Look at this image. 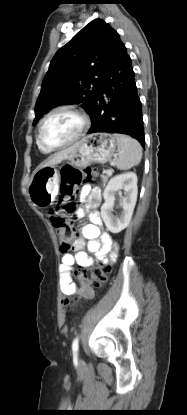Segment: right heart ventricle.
Wrapping results in <instances>:
<instances>
[{"mask_svg":"<svg viewBox=\"0 0 187 415\" xmlns=\"http://www.w3.org/2000/svg\"><path fill=\"white\" fill-rule=\"evenodd\" d=\"M38 146H39V148H40V150H41V151H43V152H45V153L50 152V151L45 150L44 148H42L39 144H38Z\"/></svg>","mask_w":187,"mask_h":415,"instance_id":"obj_1","label":"right heart ventricle"}]
</instances>
